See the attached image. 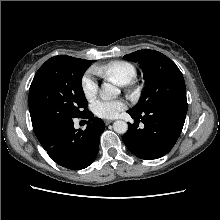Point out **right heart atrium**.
<instances>
[{"mask_svg": "<svg viewBox=\"0 0 220 220\" xmlns=\"http://www.w3.org/2000/svg\"><path fill=\"white\" fill-rule=\"evenodd\" d=\"M81 88L85 98L93 100L98 93V83L91 74H86L81 80Z\"/></svg>", "mask_w": 220, "mask_h": 220, "instance_id": "d8ad5b80", "label": "right heart atrium"}]
</instances>
